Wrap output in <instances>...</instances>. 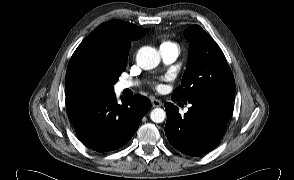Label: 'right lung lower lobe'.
<instances>
[{"label":"right lung lower lobe","instance_id":"right-lung-lower-lobe-1","mask_svg":"<svg viewBox=\"0 0 294 180\" xmlns=\"http://www.w3.org/2000/svg\"><path fill=\"white\" fill-rule=\"evenodd\" d=\"M151 108L149 99L135 95L117 101L114 92L70 99L66 111L82 143L98 151L125 145Z\"/></svg>","mask_w":294,"mask_h":180}]
</instances>
